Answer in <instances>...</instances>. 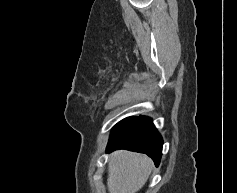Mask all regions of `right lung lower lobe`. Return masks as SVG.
<instances>
[{"label": "right lung lower lobe", "instance_id": "right-lung-lower-lobe-1", "mask_svg": "<svg viewBox=\"0 0 237 193\" xmlns=\"http://www.w3.org/2000/svg\"><path fill=\"white\" fill-rule=\"evenodd\" d=\"M163 139L151 118L128 117L117 123L110 135L107 152L116 149L145 153L158 166L162 155Z\"/></svg>", "mask_w": 237, "mask_h": 193}]
</instances>
